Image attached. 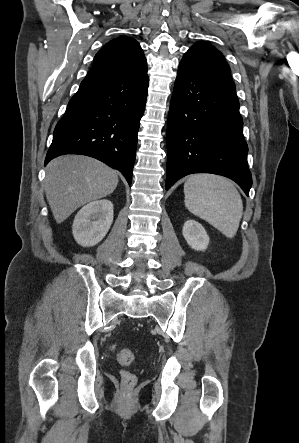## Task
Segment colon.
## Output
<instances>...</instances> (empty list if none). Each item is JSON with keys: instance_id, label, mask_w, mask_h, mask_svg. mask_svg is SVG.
<instances>
[{"instance_id": "1", "label": "colon", "mask_w": 299, "mask_h": 443, "mask_svg": "<svg viewBox=\"0 0 299 443\" xmlns=\"http://www.w3.org/2000/svg\"><path fill=\"white\" fill-rule=\"evenodd\" d=\"M116 359L119 364L128 366L134 359L133 352L129 349H120L116 351ZM122 385L125 389H131L136 385L137 378L130 371H122L121 373Z\"/></svg>"}]
</instances>
